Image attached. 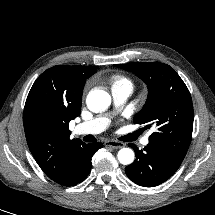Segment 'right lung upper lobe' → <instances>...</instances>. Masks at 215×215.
<instances>
[{"instance_id":"1","label":"right lung upper lobe","mask_w":215,"mask_h":215,"mask_svg":"<svg viewBox=\"0 0 215 215\" xmlns=\"http://www.w3.org/2000/svg\"><path fill=\"white\" fill-rule=\"evenodd\" d=\"M98 66H54L33 84L24 108L29 149L43 172L61 184L83 143L70 139L69 122L79 116L85 80Z\"/></svg>"}]
</instances>
